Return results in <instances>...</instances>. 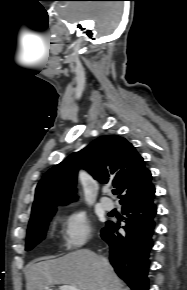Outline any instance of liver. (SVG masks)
<instances>
[{
  "label": "liver",
  "instance_id": "6515ba94",
  "mask_svg": "<svg viewBox=\"0 0 187 290\" xmlns=\"http://www.w3.org/2000/svg\"><path fill=\"white\" fill-rule=\"evenodd\" d=\"M25 275L27 290H45L54 285H72L79 290H128L112 266L88 249L31 263Z\"/></svg>",
  "mask_w": 187,
  "mask_h": 290
}]
</instances>
